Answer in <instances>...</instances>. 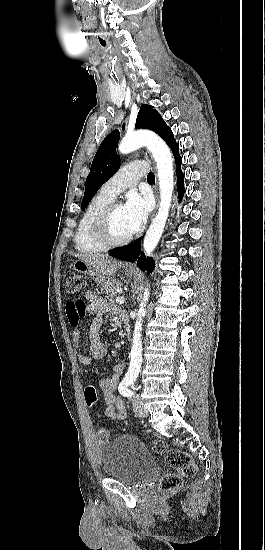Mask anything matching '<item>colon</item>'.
Here are the masks:
<instances>
[{
    "label": "colon",
    "instance_id": "1",
    "mask_svg": "<svg viewBox=\"0 0 265 550\" xmlns=\"http://www.w3.org/2000/svg\"><path fill=\"white\" fill-rule=\"evenodd\" d=\"M65 292L74 296L80 293L84 288V279L80 274L67 272L64 275ZM78 311L76 314L69 316V323L72 327L79 324L85 309V303L82 300L71 302ZM85 402L89 407H96L98 403L97 391L94 386L89 385L84 390ZM98 439L101 443H106L109 440V431L105 427H100L97 431ZM152 448L159 454H165L167 464L175 470V472L167 473L161 480V489L170 491L177 489L182 484L184 477H192L196 474V465L192 458L187 453L173 448H168L162 440H154Z\"/></svg>",
    "mask_w": 265,
    "mask_h": 550
}]
</instances>
